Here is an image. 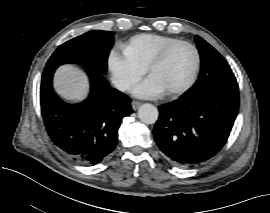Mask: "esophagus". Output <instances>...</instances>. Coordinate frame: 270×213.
<instances>
[{"label": "esophagus", "instance_id": "34e87169", "mask_svg": "<svg viewBox=\"0 0 270 213\" xmlns=\"http://www.w3.org/2000/svg\"><path fill=\"white\" fill-rule=\"evenodd\" d=\"M141 104H142V102L136 101V100H132V102H131L132 108L134 110H137L141 106Z\"/></svg>", "mask_w": 270, "mask_h": 213}]
</instances>
